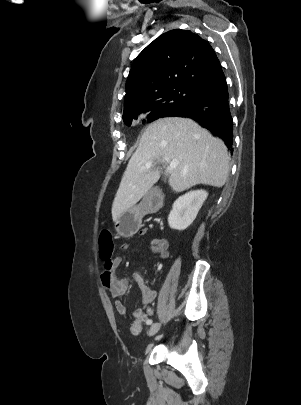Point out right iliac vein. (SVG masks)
<instances>
[{
  "mask_svg": "<svg viewBox=\"0 0 301 405\" xmlns=\"http://www.w3.org/2000/svg\"><path fill=\"white\" fill-rule=\"evenodd\" d=\"M159 329H160V324H158V323L152 324L151 327L149 328L148 335L149 336L155 335L159 331Z\"/></svg>",
  "mask_w": 301,
  "mask_h": 405,
  "instance_id": "1",
  "label": "right iliac vein"
}]
</instances>
